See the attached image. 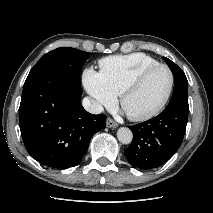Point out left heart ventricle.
<instances>
[{"label":"left heart ventricle","instance_id":"obj_1","mask_svg":"<svg viewBox=\"0 0 213 213\" xmlns=\"http://www.w3.org/2000/svg\"><path fill=\"white\" fill-rule=\"evenodd\" d=\"M169 85V74L165 69L149 73L139 86L125 99L123 109L128 114H142L155 107L164 97Z\"/></svg>","mask_w":213,"mask_h":213}]
</instances>
